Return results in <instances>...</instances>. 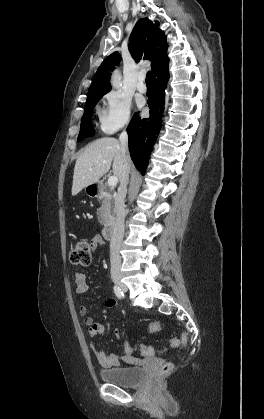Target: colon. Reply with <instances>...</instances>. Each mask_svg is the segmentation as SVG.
<instances>
[{
	"label": "colon",
	"instance_id": "colon-1",
	"mask_svg": "<svg viewBox=\"0 0 264 419\" xmlns=\"http://www.w3.org/2000/svg\"><path fill=\"white\" fill-rule=\"evenodd\" d=\"M70 260L75 265H81V266H88L91 263V246L89 242L85 239H79L74 247L72 248L70 252ZM153 332H157L158 330V324L156 322H153L151 324ZM187 341L186 336H183L182 342L185 344ZM170 346L173 348H177L180 346L181 341L177 338H173L169 342ZM173 369V364L171 362L165 363L161 369L160 373L162 375L168 374Z\"/></svg>",
	"mask_w": 264,
	"mask_h": 419
}]
</instances>
